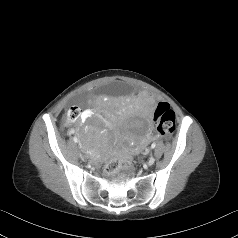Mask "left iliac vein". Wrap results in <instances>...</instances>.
<instances>
[{
    "label": "left iliac vein",
    "mask_w": 238,
    "mask_h": 238,
    "mask_svg": "<svg viewBox=\"0 0 238 238\" xmlns=\"http://www.w3.org/2000/svg\"><path fill=\"white\" fill-rule=\"evenodd\" d=\"M154 161H155V159H154L153 157H151V158L149 159V161H148V165H149V166L153 165V164H154Z\"/></svg>",
    "instance_id": "left-iliac-vein-1"
}]
</instances>
